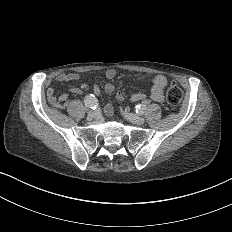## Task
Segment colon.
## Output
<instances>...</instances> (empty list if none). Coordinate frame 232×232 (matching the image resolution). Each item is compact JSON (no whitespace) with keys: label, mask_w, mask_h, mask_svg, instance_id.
Segmentation results:
<instances>
[{"label":"colon","mask_w":232,"mask_h":232,"mask_svg":"<svg viewBox=\"0 0 232 232\" xmlns=\"http://www.w3.org/2000/svg\"><path fill=\"white\" fill-rule=\"evenodd\" d=\"M165 94V99H168V107H180L181 106V86H178L175 82L168 83ZM67 93L55 92L51 96V103L55 107H62L66 103Z\"/></svg>","instance_id":"1"}]
</instances>
